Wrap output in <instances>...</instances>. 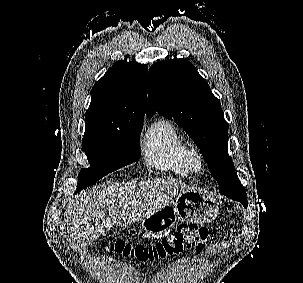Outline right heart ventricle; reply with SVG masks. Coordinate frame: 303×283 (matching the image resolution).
Listing matches in <instances>:
<instances>
[{
    "label": "right heart ventricle",
    "mask_w": 303,
    "mask_h": 283,
    "mask_svg": "<svg viewBox=\"0 0 303 283\" xmlns=\"http://www.w3.org/2000/svg\"><path fill=\"white\" fill-rule=\"evenodd\" d=\"M188 149L183 134L167 119L151 124L143 139L147 165L178 177H187L191 173L186 157Z\"/></svg>",
    "instance_id": "right-heart-ventricle-1"
}]
</instances>
